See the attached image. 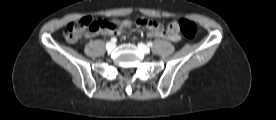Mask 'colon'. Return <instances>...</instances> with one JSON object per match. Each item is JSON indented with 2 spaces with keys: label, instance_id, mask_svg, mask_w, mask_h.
I'll use <instances>...</instances> for the list:
<instances>
[{
  "label": "colon",
  "instance_id": "5ec220e1",
  "mask_svg": "<svg viewBox=\"0 0 276 120\" xmlns=\"http://www.w3.org/2000/svg\"><path fill=\"white\" fill-rule=\"evenodd\" d=\"M151 21L150 19H139L137 20V24L147 27L151 25ZM124 25L125 23L109 22L103 19L94 20L91 17H83L68 24L64 31V37L67 42L75 43L85 35L99 32H113ZM167 31L169 33L180 31L185 38L194 39L198 29L194 22L187 19H181L168 23Z\"/></svg>",
  "mask_w": 276,
  "mask_h": 120
}]
</instances>
